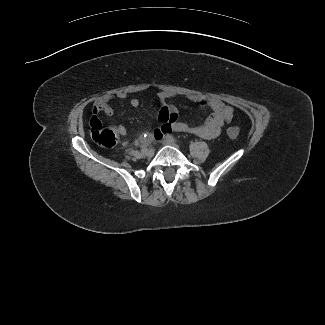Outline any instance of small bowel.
<instances>
[{"mask_svg": "<svg viewBox=\"0 0 325 325\" xmlns=\"http://www.w3.org/2000/svg\"><path fill=\"white\" fill-rule=\"evenodd\" d=\"M172 96H174V93L168 91H160L157 94L160 102L158 117L159 120L163 122L161 127L154 131V134L157 137H161L163 134L169 133L170 131H175L195 134L205 139H212L220 134L225 124L229 123L233 117V108L215 97L199 94H185L184 96L187 100L200 106H208L212 110L211 116H209L202 124L189 125L178 119L179 114L177 107L167 103V100ZM126 97L127 94L124 92L110 93L100 96L94 103L93 112L94 114L101 112L110 117L113 115V109L109 105L110 101L114 99H125ZM129 104L136 108L139 106L140 101L137 98H131ZM117 130L121 135L126 134V129L123 126H119Z\"/></svg>", "mask_w": 325, "mask_h": 325, "instance_id": "1", "label": "small bowel"}]
</instances>
